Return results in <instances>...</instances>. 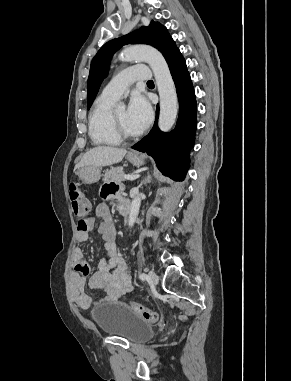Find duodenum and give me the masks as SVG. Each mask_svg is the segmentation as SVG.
<instances>
[{"label":"duodenum","mask_w":291,"mask_h":381,"mask_svg":"<svg viewBox=\"0 0 291 381\" xmlns=\"http://www.w3.org/2000/svg\"><path fill=\"white\" fill-rule=\"evenodd\" d=\"M128 211H129V206H128V204H125V206L123 207L124 214H127Z\"/></svg>","instance_id":"duodenum-1"}]
</instances>
